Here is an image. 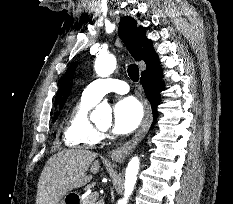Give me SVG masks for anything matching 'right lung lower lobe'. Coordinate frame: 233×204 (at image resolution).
<instances>
[{
	"label": "right lung lower lobe",
	"mask_w": 233,
	"mask_h": 204,
	"mask_svg": "<svg viewBox=\"0 0 233 204\" xmlns=\"http://www.w3.org/2000/svg\"><path fill=\"white\" fill-rule=\"evenodd\" d=\"M162 77V70L159 65L142 73L141 76L142 86L151 103L153 124L157 119V105L160 103V92L163 89Z\"/></svg>",
	"instance_id": "right-lung-lower-lobe-1"
}]
</instances>
